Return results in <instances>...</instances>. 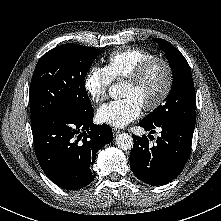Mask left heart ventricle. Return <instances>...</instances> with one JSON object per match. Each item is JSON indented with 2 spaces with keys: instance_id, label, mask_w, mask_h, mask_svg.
<instances>
[{
  "instance_id": "obj_1",
  "label": "left heart ventricle",
  "mask_w": 221,
  "mask_h": 221,
  "mask_svg": "<svg viewBox=\"0 0 221 221\" xmlns=\"http://www.w3.org/2000/svg\"><path fill=\"white\" fill-rule=\"evenodd\" d=\"M167 80L166 70L162 64H155L144 79L136 85L125 83L121 96L134 97L142 106L152 104L161 94Z\"/></svg>"
}]
</instances>
